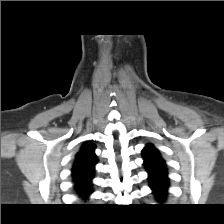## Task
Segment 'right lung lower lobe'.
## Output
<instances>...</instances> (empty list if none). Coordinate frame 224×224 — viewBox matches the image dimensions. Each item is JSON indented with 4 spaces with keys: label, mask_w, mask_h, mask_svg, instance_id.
<instances>
[{
    "label": "right lung lower lobe",
    "mask_w": 224,
    "mask_h": 224,
    "mask_svg": "<svg viewBox=\"0 0 224 224\" xmlns=\"http://www.w3.org/2000/svg\"><path fill=\"white\" fill-rule=\"evenodd\" d=\"M89 195V194H88ZM88 195H82L84 197V199L88 196Z\"/></svg>",
    "instance_id": "obj_1"
}]
</instances>
